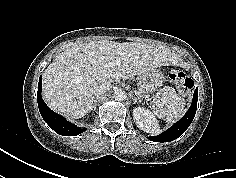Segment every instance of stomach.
I'll use <instances>...</instances> for the list:
<instances>
[{
  "label": "stomach",
  "instance_id": "stomach-1",
  "mask_svg": "<svg viewBox=\"0 0 236 178\" xmlns=\"http://www.w3.org/2000/svg\"><path fill=\"white\" fill-rule=\"evenodd\" d=\"M164 75L158 69L139 75L137 78L138 93L141 97L156 91L164 82Z\"/></svg>",
  "mask_w": 236,
  "mask_h": 178
}]
</instances>
